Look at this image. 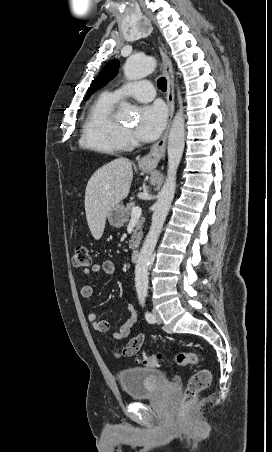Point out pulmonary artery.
Masks as SVG:
<instances>
[{
    "label": "pulmonary artery",
    "mask_w": 272,
    "mask_h": 452,
    "mask_svg": "<svg viewBox=\"0 0 272 452\" xmlns=\"http://www.w3.org/2000/svg\"><path fill=\"white\" fill-rule=\"evenodd\" d=\"M115 99L132 97L139 102H149L154 99V87L149 81H137L122 85L110 93Z\"/></svg>",
    "instance_id": "obj_1"
}]
</instances>
